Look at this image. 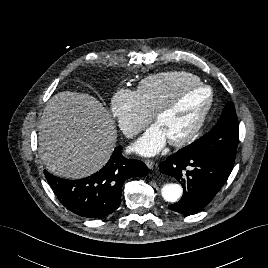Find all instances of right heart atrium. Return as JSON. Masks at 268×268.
I'll use <instances>...</instances> for the list:
<instances>
[{"mask_svg":"<svg viewBox=\"0 0 268 268\" xmlns=\"http://www.w3.org/2000/svg\"><path fill=\"white\" fill-rule=\"evenodd\" d=\"M110 109L128 137L135 136L152 120V114L147 110L138 91L117 90L111 99Z\"/></svg>","mask_w":268,"mask_h":268,"instance_id":"1","label":"right heart atrium"}]
</instances>
